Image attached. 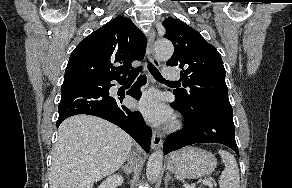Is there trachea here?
<instances>
[{
  "mask_svg": "<svg viewBox=\"0 0 292 188\" xmlns=\"http://www.w3.org/2000/svg\"><path fill=\"white\" fill-rule=\"evenodd\" d=\"M148 69L151 73V75L158 81H163V82H168V83H176V82H170V81H166L162 75L160 74V72L158 71V69L152 65V64H149L148 65ZM142 70V67H138L137 69L135 70H132L128 76V79H135L138 75V73Z\"/></svg>",
  "mask_w": 292,
  "mask_h": 188,
  "instance_id": "trachea-1",
  "label": "trachea"
}]
</instances>
